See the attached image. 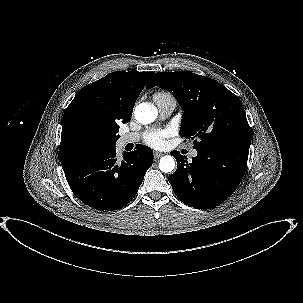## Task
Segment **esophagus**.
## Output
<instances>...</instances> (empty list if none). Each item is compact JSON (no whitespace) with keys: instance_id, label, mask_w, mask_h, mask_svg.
<instances>
[{"instance_id":"obj_1","label":"esophagus","mask_w":303,"mask_h":303,"mask_svg":"<svg viewBox=\"0 0 303 303\" xmlns=\"http://www.w3.org/2000/svg\"><path fill=\"white\" fill-rule=\"evenodd\" d=\"M161 156H163V153L154 152V158L159 159Z\"/></svg>"}]
</instances>
